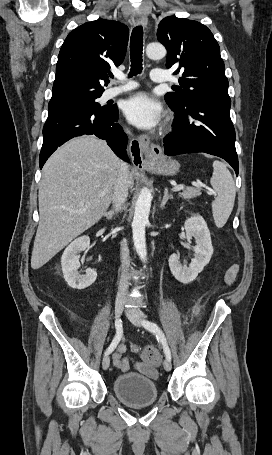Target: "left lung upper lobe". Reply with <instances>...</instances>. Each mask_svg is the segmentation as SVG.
<instances>
[{"label": "left lung upper lobe", "mask_w": 272, "mask_h": 455, "mask_svg": "<svg viewBox=\"0 0 272 455\" xmlns=\"http://www.w3.org/2000/svg\"><path fill=\"white\" fill-rule=\"evenodd\" d=\"M157 37L167 49V68L181 73L177 92H168L166 102L179 110L205 97H229L225 65L211 31L203 24L186 18H164Z\"/></svg>", "instance_id": "1"}]
</instances>
